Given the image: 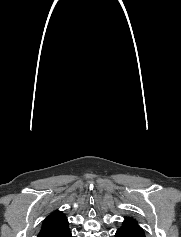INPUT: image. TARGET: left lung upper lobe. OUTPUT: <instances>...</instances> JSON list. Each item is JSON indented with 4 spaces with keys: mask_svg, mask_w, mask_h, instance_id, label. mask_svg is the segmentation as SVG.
<instances>
[{
    "mask_svg": "<svg viewBox=\"0 0 181 237\" xmlns=\"http://www.w3.org/2000/svg\"><path fill=\"white\" fill-rule=\"evenodd\" d=\"M126 228H138V229H142L137 221L132 218V217H125V220L123 222V225L121 226L120 229H126Z\"/></svg>",
    "mask_w": 181,
    "mask_h": 237,
    "instance_id": "1",
    "label": "left lung upper lobe"
}]
</instances>
